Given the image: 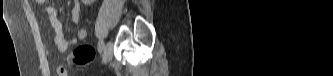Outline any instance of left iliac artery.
Listing matches in <instances>:
<instances>
[{"instance_id":"obj_1","label":"left iliac artery","mask_w":333,"mask_h":76,"mask_svg":"<svg viewBox=\"0 0 333 76\" xmlns=\"http://www.w3.org/2000/svg\"><path fill=\"white\" fill-rule=\"evenodd\" d=\"M103 47H104V42H103V40H100V41L98 42V51H99L100 53L102 52Z\"/></svg>"}]
</instances>
